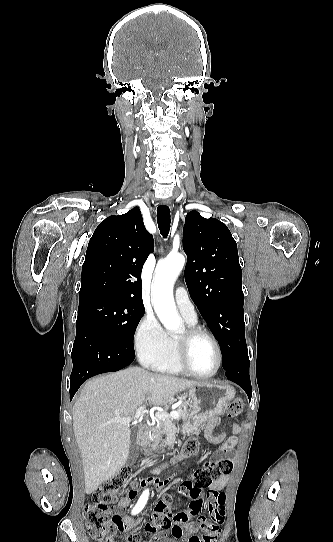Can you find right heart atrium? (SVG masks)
Wrapping results in <instances>:
<instances>
[{"mask_svg":"<svg viewBox=\"0 0 333 542\" xmlns=\"http://www.w3.org/2000/svg\"><path fill=\"white\" fill-rule=\"evenodd\" d=\"M135 351L139 357L162 350L167 344V334L153 313H146L134 331Z\"/></svg>","mask_w":333,"mask_h":542,"instance_id":"obj_1","label":"right heart atrium"}]
</instances>
